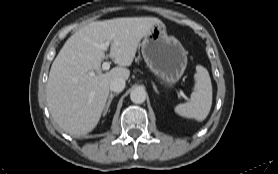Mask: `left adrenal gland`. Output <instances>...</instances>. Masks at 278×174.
Returning a JSON list of instances; mask_svg holds the SVG:
<instances>
[{
	"instance_id": "obj_1",
	"label": "left adrenal gland",
	"mask_w": 278,
	"mask_h": 174,
	"mask_svg": "<svg viewBox=\"0 0 278 174\" xmlns=\"http://www.w3.org/2000/svg\"><path fill=\"white\" fill-rule=\"evenodd\" d=\"M152 84H153V89L155 90L156 93H158V90H157L155 84L154 83H152Z\"/></svg>"
}]
</instances>
